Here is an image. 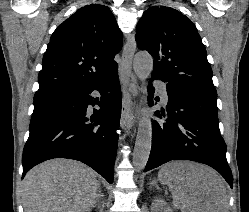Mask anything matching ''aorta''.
<instances>
[{
  "mask_svg": "<svg viewBox=\"0 0 249 212\" xmlns=\"http://www.w3.org/2000/svg\"><path fill=\"white\" fill-rule=\"evenodd\" d=\"M133 69L136 76L146 80L153 70V58L146 52H138L133 61ZM152 145V122L146 111L143 109L139 120L135 147L133 151V165L136 170H142L149 159Z\"/></svg>",
  "mask_w": 249,
  "mask_h": 212,
  "instance_id": "obj_1",
  "label": "aorta"
}]
</instances>
